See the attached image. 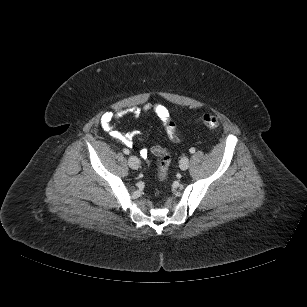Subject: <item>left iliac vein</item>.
Masks as SVG:
<instances>
[{
  "instance_id": "1",
  "label": "left iliac vein",
  "mask_w": 307,
  "mask_h": 307,
  "mask_svg": "<svg viewBox=\"0 0 307 307\" xmlns=\"http://www.w3.org/2000/svg\"><path fill=\"white\" fill-rule=\"evenodd\" d=\"M180 169L181 170H186L189 167V158L187 156H184L181 158L180 163H179Z\"/></svg>"
}]
</instances>
